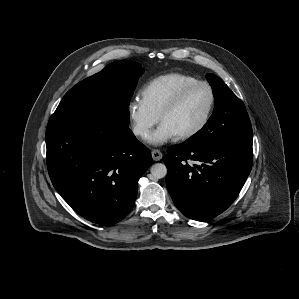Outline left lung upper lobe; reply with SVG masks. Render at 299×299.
<instances>
[{"label":"left lung upper lobe","mask_w":299,"mask_h":299,"mask_svg":"<svg viewBox=\"0 0 299 299\" xmlns=\"http://www.w3.org/2000/svg\"><path fill=\"white\" fill-rule=\"evenodd\" d=\"M206 78L213 89L214 111L205 126L186 142L204 147H252V126L244 104L221 78L214 74H207Z\"/></svg>","instance_id":"left-lung-upper-lobe-1"}]
</instances>
